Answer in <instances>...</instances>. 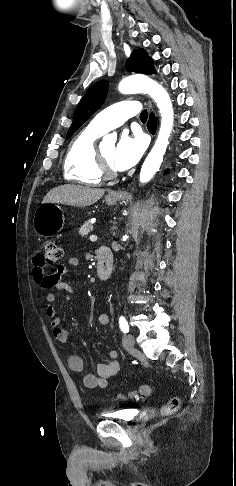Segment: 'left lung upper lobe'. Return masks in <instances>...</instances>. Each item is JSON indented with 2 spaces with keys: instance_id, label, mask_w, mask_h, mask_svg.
I'll use <instances>...</instances> for the list:
<instances>
[{
  "instance_id": "obj_1",
  "label": "left lung upper lobe",
  "mask_w": 236,
  "mask_h": 486,
  "mask_svg": "<svg viewBox=\"0 0 236 486\" xmlns=\"http://www.w3.org/2000/svg\"><path fill=\"white\" fill-rule=\"evenodd\" d=\"M126 68L128 71L139 72L143 74L155 73V68L151 57L148 56L144 49L135 50L127 61ZM108 90L106 80L99 81L92 85L82 98L71 127L66 138H69L95 111L104 103Z\"/></svg>"
}]
</instances>
